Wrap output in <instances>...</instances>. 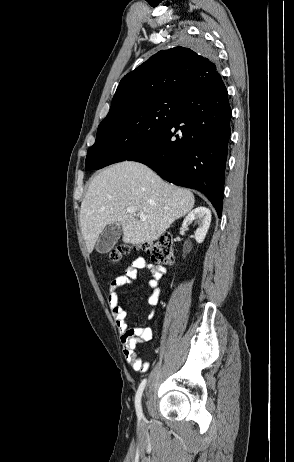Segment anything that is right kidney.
<instances>
[{"mask_svg":"<svg viewBox=\"0 0 294 462\" xmlns=\"http://www.w3.org/2000/svg\"><path fill=\"white\" fill-rule=\"evenodd\" d=\"M193 221H196L199 225L194 233V238L196 242L202 243L210 227L211 211L202 206L195 208L185 217L182 227L187 228Z\"/></svg>","mask_w":294,"mask_h":462,"instance_id":"obj_1","label":"right kidney"}]
</instances>
